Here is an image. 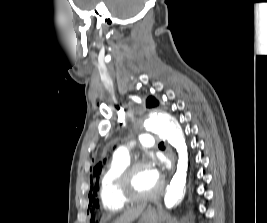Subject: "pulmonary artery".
Masks as SVG:
<instances>
[{
  "label": "pulmonary artery",
  "mask_w": 267,
  "mask_h": 223,
  "mask_svg": "<svg viewBox=\"0 0 267 223\" xmlns=\"http://www.w3.org/2000/svg\"><path fill=\"white\" fill-rule=\"evenodd\" d=\"M144 147L151 148L155 145V137L153 134L145 133L138 137ZM132 148V142L122 146L116 151V156L129 159L130 151Z\"/></svg>",
  "instance_id": "pulmonary-artery-1"
}]
</instances>
